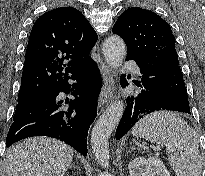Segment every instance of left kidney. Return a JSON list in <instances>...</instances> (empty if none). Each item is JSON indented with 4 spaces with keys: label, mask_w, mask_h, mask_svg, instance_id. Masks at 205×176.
I'll return each instance as SVG.
<instances>
[{
    "label": "left kidney",
    "mask_w": 205,
    "mask_h": 176,
    "mask_svg": "<svg viewBox=\"0 0 205 176\" xmlns=\"http://www.w3.org/2000/svg\"><path fill=\"white\" fill-rule=\"evenodd\" d=\"M130 176H170L163 162L156 157H137L130 161L129 165Z\"/></svg>",
    "instance_id": "obj_1"
}]
</instances>
